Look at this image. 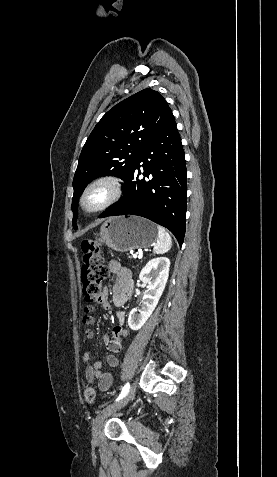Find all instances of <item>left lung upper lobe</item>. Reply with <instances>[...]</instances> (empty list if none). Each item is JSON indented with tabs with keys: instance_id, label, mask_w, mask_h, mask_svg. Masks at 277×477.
Segmentation results:
<instances>
[{
	"instance_id": "left-lung-upper-lobe-1",
	"label": "left lung upper lobe",
	"mask_w": 277,
	"mask_h": 477,
	"mask_svg": "<svg viewBox=\"0 0 277 477\" xmlns=\"http://www.w3.org/2000/svg\"><path fill=\"white\" fill-rule=\"evenodd\" d=\"M172 118L165 99L150 88L121 101L101 118L81 151L73 179L74 229L78 200L87 184L107 175L126 181L141 150Z\"/></svg>"
}]
</instances>
